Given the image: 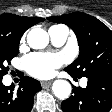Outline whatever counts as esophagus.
<instances>
[{"instance_id":"obj_1","label":"esophagus","mask_w":112,"mask_h":112,"mask_svg":"<svg viewBox=\"0 0 112 112\" xmlns=\"http://www.w3.org/2000/svg\"><path fill=\"white\" fill-rule=\"evenodd\" d=\"M51 84H52V81H42V82H41V86H42L43 88H47V87H49Z\"/></svg>"}]
</instances>
